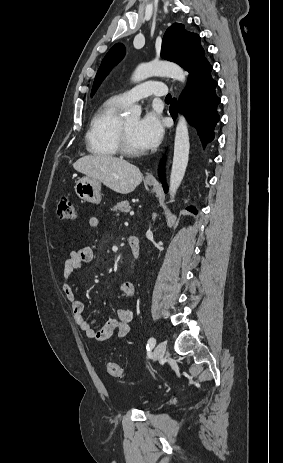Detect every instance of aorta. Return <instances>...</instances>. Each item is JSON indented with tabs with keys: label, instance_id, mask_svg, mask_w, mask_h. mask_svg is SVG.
Segmentation results:
<instances>
[{
	"label": "aorta",
	"instance_id": "1",
	"mask_svg": "<svg viewBox=\"0 0 283 463\" xmlns=\"http://www.w3.org/2000/svg\"><path fill=\"white\" fill-rule=\"evenodd\" d=\"M152 76H167L178 80L182 83L186 81L185 71L177 64L167 61H152L149 63L140 64L132 75L134 82L143 81ZM141 107L139 105L132 106L127 117H139L141 114ZM189 133L188 124L183 115L179 116L176 127L175 141H174V155L170 175L169 194L170 202L174 201L176 192L181 185L184 178L185 171L189 159Z\"/></svg>",
	"mask_w": 283,
	"mask_h": 463
}]
</instances>
